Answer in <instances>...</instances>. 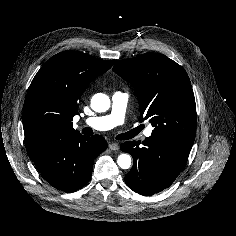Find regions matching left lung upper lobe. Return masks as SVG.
I'll return each mask as SVG.
<instances>
[{
    "label": "left lung upper lobe",
    "mask_w": 236,
    "mask_h": 236,
    "mask_svg": "<svg viewBox=\"0 0 236 236\" xmlns=\"http://www.w3.org/2000/svg\"><path fill=\"white\" fill-rule=\"evenodd\" d=\"M113 71L133 85L139 121L149 119L154 127L152 135L194 142L196 105L184 68L165 55L145 53L120 60Z\"/></svg>",
    "instance_id": "left-lung-upper-lobe-1"
}]
</instances>
